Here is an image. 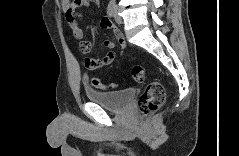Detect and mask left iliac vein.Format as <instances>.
I'll return each instance as SVG.
<instances>
[{
    "instance_id": "1",
    "label": "left iliac vein",
    "mask_w": 239,
    "mask_h": 156,
    "mask_svg": "<svg viewBox=\"0 0 239 156\" xmlns=\"http://www.w3.org/2000/svg\"><path fill=\"white\" fill-rule=\"evenodd\" d=\"M115 21L117 24H121L122 23V19L121 17L118 15V8L116 7V10H115Z\"/></svg>"
}]
</instances>
